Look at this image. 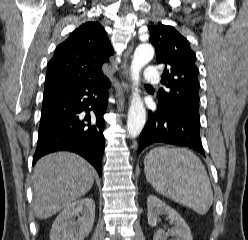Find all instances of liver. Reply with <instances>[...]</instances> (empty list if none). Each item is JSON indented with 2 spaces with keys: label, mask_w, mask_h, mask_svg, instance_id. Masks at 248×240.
Returning a JSON list of instances; mask_svg holds the SVG:
<instances>
[{
  "label": "liver",
  "mask_w": 248,
  "mask_h": 240,
  "mask_svg": "<svg viewBox=\"0 0 248 240\" xmlns=\"http://www.w3.org/2000/svg\"><path fill=\"white\" fill-rule=\"evenodd\" d=\"M94 182V170L82 157L57 152L42 157L33 175V207L38 219H47L85 195Z\"/></svg>",
  "instance_id": "obj_1"
}]
</instances>
